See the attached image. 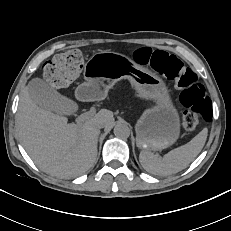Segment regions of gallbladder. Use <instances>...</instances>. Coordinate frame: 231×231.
I'll list each match as a JSON object with an SVG mask.
<instances>
[{
	"label": "gallbladder",
	"instance_id": "gallbladder-1",
	"mask_svg": "<svg viewBox=\"0 0 231 231\" xmlns=\"http://www.w3.org/2000/svg\"><path fill=\"white\" fill-rule=\"evenodd\" d=\"M27 88L32 101L42 109L63 111L70 103L42 79H32Z\"/></svg>",
	"mask_w": 231,
	"mask_h": 231
}]
</instances>
